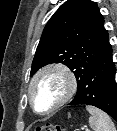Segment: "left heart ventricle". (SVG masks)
Wrapping results in <instances>:
<instances>
[{
    "label": "left heart ventricle",
    "instance_id": "obj_1",
    "mask_svg": "<svg viewBox=\"0 0 117 131\" xmlns=\"http://www.w3.org/2000/svg\"><path fill=\"white\" fill-rule=\"evenodd\" d=\"M65 80L57 73H50L38 80L34 88L36 106L40 111L52 108L64 95Z\"/></svg>",
    "mask_w": 117,
    "mask_h": 131
}]
</instances>
